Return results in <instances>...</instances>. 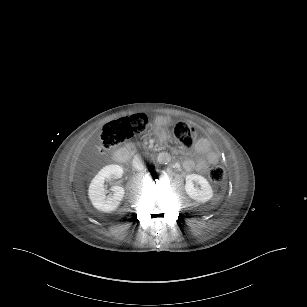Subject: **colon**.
I'll list each match as a JSON object with an SVG mask.
<instances>
[{
    "label": "colon",
    "mask_w": 307,
    "mask_h": 307,
    "mask_svg": "<svg viewBox=\"0 0 307 307\" xmlns=\"http://www.w3.org/2000/svg\"><path fill=\"white\" fill-rule=\"evenodd\" d=\"M148 124L149 119L146 115H133L106 124L101 132L96 151L99 153L110 151L139 136L146 130ZM174 135L184 147H190L197 137L196 131L185 121H179L175 124ZM209 178L215 183L222 182L224 179L223 168L218 165L212 166L209 170Z\"/></svg>",
    "instance_id": "5ec220e1"
}]
</instances>
